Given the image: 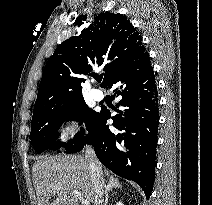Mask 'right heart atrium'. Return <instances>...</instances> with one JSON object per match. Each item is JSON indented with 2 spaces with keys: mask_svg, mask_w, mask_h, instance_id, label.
I'll use <instances>...</instances> for the list:
<instances>
[{
  "mask_svg": "<svg viewBox=\"0 0 212 205\" xmlns=\"http://www.w3.org/2000/svg\"><path fill=\"white\" fill-rule=\"evenodd\" d=\"M80 130V122L73 117L65 119L59 129L60 138L65 142L73 141Z\"/></svg>",
  "mask_w": 212,
  "mask_h": 205,
  "instance_id": "right-heart-atrium-1",
  "label": "right heart atrium"
}]
</instances>
